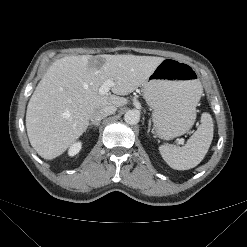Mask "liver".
Wrapping results in <instances>:
<instances>
[{
  "label": "liver",
  "instance_id": "liver-1",
  "mask_svg": "<svg viewBox=\"0 0 247 247\" xmlns=\"http://www.w3.org/2000/svg\"><path fill=\"white\" fill-rule=\"evenodd\" d=\"M163 57L78 55L56 60L32 94L26 112L31 146L44 159L63 154L89 125L90 114L108 106L122 107L153 73ZM106 80L115 84L100 94ZM120 95V96H119Z\"/></svg>",
  "mask_w": 247,
  "mask_h": 247
}]
</instances>
